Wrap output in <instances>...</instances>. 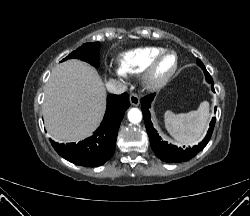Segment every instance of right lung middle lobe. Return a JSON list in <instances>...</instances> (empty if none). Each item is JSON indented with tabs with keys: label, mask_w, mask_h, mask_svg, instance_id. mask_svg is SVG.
Wrapping results in <instances>:
<instances>
[{
	"label": "right lung middle lobe",
	"mask_w": 250,
	"mask_h": 216,
	"mask_svg": "<svg viewBox=\"0 0 250 216\" xmlns=\"http://www.w3.org/2000/svg\"><path fill=\"white\" fill-rule=\"evenodd\" d=\"M100 43L93 42V43H86L79 47L77 50L73 51L69 54L65 59H81L90 63L91 65L98 67L99 66V54Z\"/></svg>",
	"instance_id": "right-lung-middle-lobe-1"
}]
</instances>
